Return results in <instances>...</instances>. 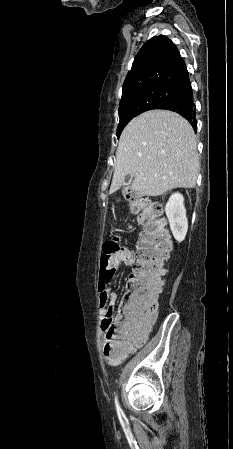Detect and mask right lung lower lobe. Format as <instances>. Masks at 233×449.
I'll return each instance as SVG.
<instances>
[{"label":"right lung lower lobe","mask_w":233,"mask_h":449,"mask_svg":"<svg viewBox=\"0 0 233 449\" xmlns=\"http://www.w3.org/2000/svg\"><path fill=\"white\" fill-rule=\"evenodd\" d=\"M182 95L176 99L169 101L162 106H160L158 109H165L177 112L184 118H186L190 124L192 125L193 129L196 130V124L197 121L195 119V104L193 102V93L191 89L190 82L184 85L180 88Z\"/></svg>","instance_id":"obj_1"}]
</instances>
